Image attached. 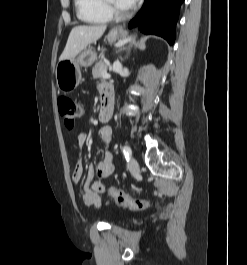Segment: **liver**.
Instances as JSON below:
<instances>
[{"instance_id":"6515ba94","label":"liver","mask_w":247,"mask_h":265,"mask_svg":"<svg viewBox=\"0 0 247 265\" xmlns=\"http://www.w3.org/2000/svg\"><path fill=\"white\" fill-rule=\"evenodd\" d=\"M105 30L106 25L74 27L69 34L66 46L59 61L76 57L87 47V45L97 41L103 35Z\"/></svg>"}]
</instances>
